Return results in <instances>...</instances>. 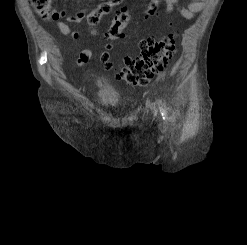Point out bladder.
<instances>
[{
    "mask_svg": "<svg viewBox=\"0 0 247 245\" xmlns=\"http://www.w3.org/2000/svg\"><path fill=\"white\" fill-rule=\"evenodd\" d=\"M98 100L105 106H116L119 102V92L117 89L102 76L97 77Z\"/></svg>",
    "mask_w": 247,
    "mask_h": 245,
    "instance_id": "1",
    "label": "bladder"
}]
</instances>
